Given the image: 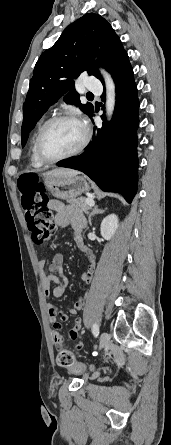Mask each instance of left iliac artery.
<instances>
[{"instance_id": "1", "label": "left iliac artery", "mask_w": 171, "mask_h": 445, "mask_svg": "<svg viewBox=\"0 0 171 445\" xmlns=\"http://www.w3.org/2000/svg\"><path fill=\"white\" fill-rule=\"evenodd\" d=\"M92 333L95 337L99 335V326L96 323L92 326Z\"/></svg>"}]
</instances>
